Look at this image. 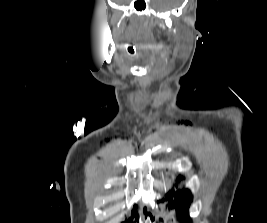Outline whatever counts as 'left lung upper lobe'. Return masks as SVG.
I'll list each match as a JSON object with an SVG mask.
<instances>
[{
  "label": "left lung upper lobe",
  "instance_id": "left-lung-upper-lobe-1",
  "mask_svg": "<svg viewBox=\"0 0 267 223\" xmlns=\"http://www.w3.org/2000/svg\"><path fill=\"white\" fill-rule=\"evenodd\" d=\"M184 177L179 175L176 179L177 182L182 180ZM177 186V185H176ZM173 194L174 198H171ZM170 204L163 209V214H189L190 204H196L197 200L193 199L192 194L188 189L178 190L169 192Z\"/></svg>",
  "mask_w": 267,
  "mask_h": 223
}]
</instances>
